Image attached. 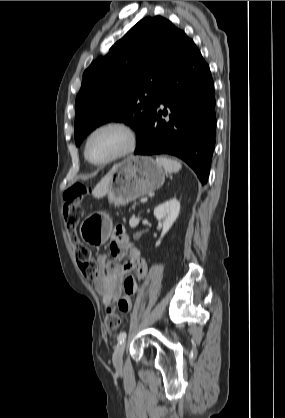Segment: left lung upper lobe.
Segmentation results:
<instances>
[{"mask_svg": "<svg viewBox=\"0 0 285 418\" xmlns=\"http://www.w3.org/2000/svg\"><path fill=\"white\" fill-rule=\"evenodd\" d=\"M185 33L169 20L146 17L83 74L75 110V142L110 121L125 122L137 133L148 130L163 80Z\"/></svg>", "mask_w": 285, "mask_h": 418, "instance_id": "5c2ea615", "label": "left lung upper lobe"}]
</instances>
